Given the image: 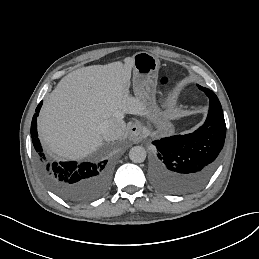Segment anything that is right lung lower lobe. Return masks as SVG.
<instances>
[{
  "mask_svg": "<svg viewBox=\"0 0 259 259\" xmlns=\"http://www.w3.org/2000/svg\"><path fill=\"white\" fill-rule=\"evenodd\" d=\"M42 101L31 122L32 143L36 150L37 166L44 181L61 197L70 202H85L103 195L110 181L108 160L99 163L49 162L43 152L37 133V116Z\"/></svg>",
  "mask_w": 259,
  "mask_h": 259,
  "instance_id": "right-lung-lower-lobe-1",
  "label": "right lung lower lobe"
}]
</instances>
